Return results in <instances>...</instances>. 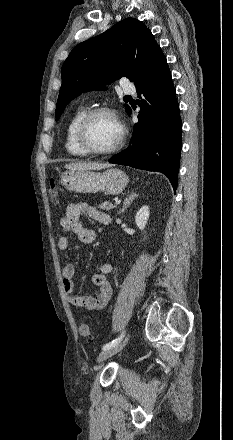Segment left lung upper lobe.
I'll return each mask as SVG.
<instances>
[{
    "label": "left lung upper lobe",
    "mask_w": 233,
    "mask_h": 440,
    "mask_svg": "<svg viewBox=\"0 0 233 440\" xmlns=\"http://www.w3.org/2000/svg\"><path fill=\"white\" fill-rule=\"evenodd\" d=\"M161 52L151 31L133 18L76 45L62 66V85L56 105V121L66 105L82 92L103 90L126 76L137 82ZM127 112L128 105H124Z\"/></svg>",
    "instance_id": "left-lung-upper-lobe-1"
}]
</instances>
